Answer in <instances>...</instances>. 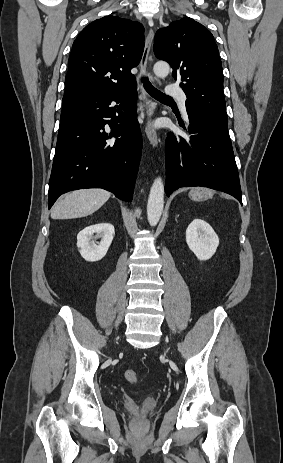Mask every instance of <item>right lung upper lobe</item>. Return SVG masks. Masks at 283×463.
I'll return each instance as SVG.
<instances>
[{"mask_svg": "<svg viewBox=\"0 0 283 463\" xmlns=\"http://www.w3.org/2000/svg\"><path fill=\"white\" fill-rule=\"evenodd\" d=\"M144 50V27L129 19L105 16L86 26L73 43L65 77L62 113L135 85L131 69Z\"/></svg>", "mask_w": 283, "mask_h": 463, "instance_id": "cb5924a9", "label": "right lung upper lobe"}]
</instances>
